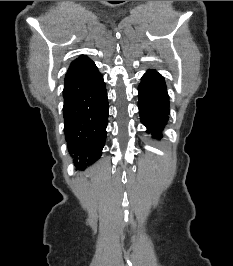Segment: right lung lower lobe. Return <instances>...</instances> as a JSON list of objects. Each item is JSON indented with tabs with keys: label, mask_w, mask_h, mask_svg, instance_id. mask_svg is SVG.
<instances>
[{
	"label": "right lung lower lobe",
	"mask_w": 233,
	"mask_h": 266,
	"mask_svg": "<svg viewBox=\"0 0 233 266\" xmlns=\"http://www.w3.org/2000/svg\"><path fill=\"white\" fill-rule=\"evenodd\" d=\"M63 97L68 149L75 166L84 170L101 156L109 110L103 76L88 57L69 68Z\"/></svg>",
	"instance_id": "98d812e1"
}]
</instances>
